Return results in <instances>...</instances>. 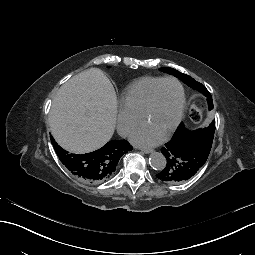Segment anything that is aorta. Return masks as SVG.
I'll return each mask as SVG.
<instances>
[{
	"instance_id": "obj_1",
	"label": "aorta",
	"mask_w": 255,
	"mask_h": 255,
	"mask_svg": "<svg viewBox=\"0 0 255 255\" xmlns=\"http://www.w3.org/2000/svg\"><path fill=\"white\" fill-rule=\"evenodd\" d=\"M166 163H167L166 158L162 153L160 152L151 153L149 157V164L154 170L156 171L163 170L166 166Z\"/></svg>"
}]
</instances>
